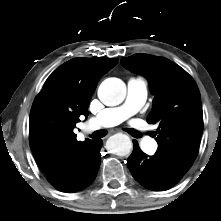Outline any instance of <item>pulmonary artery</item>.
I'll list each match as a JSON object with an SVG mask.
<instances>
[{
    "label": "pulmonary artery",
    "mask_w": 221,
    "mask_h": 221,
    "mask_svg": "<svg viewBox=\"0 0 221 221\" xmlns=\"http://www.w3.org/2000/svg\"><path fill=\"white\" fill-rule=\"evenodd\" d=\"M148 93V83L143 77L130 78L127 82V95L124 103L117 107L106 108L91 117L89 130L118 125L134 115L145 103ZM142 149L147 153H155L157 142L146 137L141 142Z\"/></svg>",
    "instance_id": "1"
}]
</instances>
